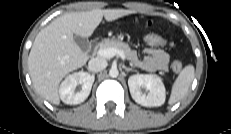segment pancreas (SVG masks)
Returning <instances> with one entry per match:
<instances>
[{
  "label": "pancreas",
  "instance_id": "1",
  "mask_svg": "<svg viewBox=\"0 0 231 134\" xmlns=\"http://www.w3.org/2000/svg\"><path fill=\"white\" fill-rule=\"evenodd\" d=\"M103 48H116L118 50H122L128 60H130L132 55L135 53L127 43L118 40H106L100 45V49Z\"/></svg>",
  "mask_w": 231,
  "mask_h": 134
}]
</instances>
